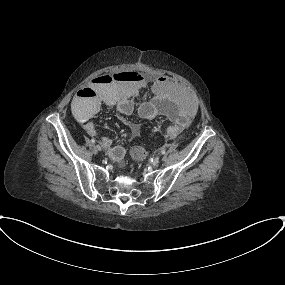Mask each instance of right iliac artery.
Segmentation results:
<instances>
[{
  "mask_svg": "<svg viewBox=\"0 0 285 285\" xmlns=\"http://www.w3.org/2000/svg\"><path fill=\"white\" fill-rule=\"evenodd\" d=\"M91 142L94 144L96 142V140L94 138H92Z\"/></svg>",
  "mask_w": 285,
  "mask_h": 285,
  "instance_id": "1",
  "label": "right iliac artery"
}]
</instances>
